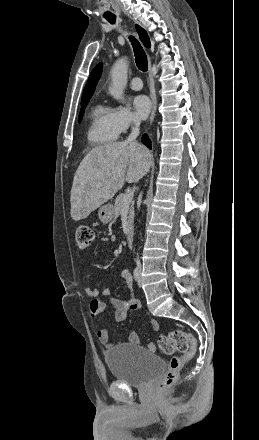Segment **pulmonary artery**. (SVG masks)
Segmentation results:
<instances>
[{"mask_svg":"<svg viewBox=\"0 0 259 440\" xmlns=\"http://www.w3.org/2000/svg\"><path fill=\"white\" fill-rule=\"evenodd\" d=\"M130 87L133 90H141L143 87L142 80L139 77H133L130 81Z\"/></svg>","mask_w":259,"mask_h":440,"instance_id":"pulmonary-artery-1","label":"pulmonary artery"}]
</instances>
